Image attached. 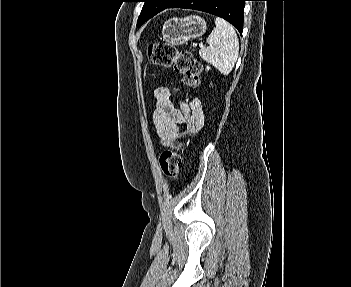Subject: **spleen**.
Returning <instances> with one entry per match:
<instances>
[{"label":"spleen","instance_id":"3e777b00","mask_svg":"<svg viewBox=\"0 0 351 287\" xmlns=\"http://www.w3.org/2000/svg\"><path fill=\"white\" fill-rule=\"evenodd\" d=\"M216 27L207 38L208 47L201 48L200 57L223 75H228L238 59L239 41L234 27L222 18L215 20Z\"/></svg>","mask_w":351,"mask_h":287}]
</instances>
